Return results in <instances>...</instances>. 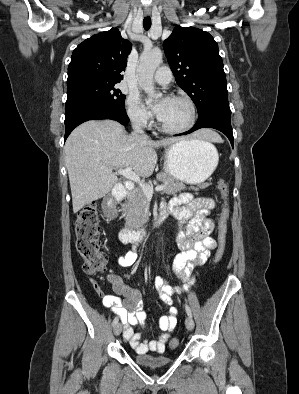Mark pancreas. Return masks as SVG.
<instances>
[{
  "label": "pancreas",
  "instance_id": "cf45deb5",
  "mask_svg": "<svg viewBox=\"0 0 299 394\" xmlns=\"http://www.w3.org/2000/svg\"><path fill=\"white\" fill-rule=\"evenodd\" d=\"M157 181H160L164 185L163 192L168 195H175L186 189V185L183 182L175 181L174 178L170 177L166 173H159L156 176ZM155 182L149 181L148 185L153 186ZM209 183H203L197 187H190L189 189L193 191H198L199 189H205L208 187ZM147 203V198L141 188H136L133 190L128 198V204L126 205L127 219L129 225L138 229L142 227L147 222V216L145 214V207Z\"/></svg>",
  "mask_w": 299,
  "mask_h": 394
}]
</instances>
